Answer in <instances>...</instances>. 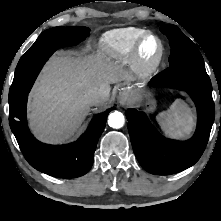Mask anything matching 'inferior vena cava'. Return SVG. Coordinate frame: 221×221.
I'll use <instances>...</instances> for the list:
<instances>
[{"mask_svg": "<svg viewBox=\"0 0 221 221\" xmlns=\"http://www.w3.org/2000/svg\"><path fill=\"white\" fill-rule=\"evenodd\" d=\"M101 98H102V93L100 90L96 88L91 89L86 95V101L90 105L98 104Z\"/></svg>", "mask_w": 221, "mask_h": 221, "instance_id": "1", "label": "inferior vena cava"}]
</instances>
